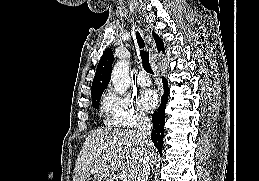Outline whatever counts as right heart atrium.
Segmentation results:
<instances>
[{
	"mask_svg": "<svg viewBox=\"0 0 259 181\" xmlns=\"http://www.w3.org/2000/svg\"><path fill=\"white\" fill-rule=\"evenodd\" d=\"M101 108L105 123L110 127L131 129L145 124L148 120L147 114L129 95L120 94L115 90L104 93Z\"/></svg>",
	"mask_w": 259,
	"mask_h": 181,
	"instance_id": "right-heart-atrium-1",
	"label": "right heart atrium"
}]
</instances>
